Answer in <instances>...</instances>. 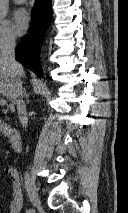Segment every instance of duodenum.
Masks as SVG:
<instances>
[{
  "instance_id": "1",
  "label": "duodenum",
  "mask_w": 128,
  "mask_h": 213,
  "mask_svg": "<svg viewBox=\"0 0 128 213\" xmlns=\"http://www.w3.org/2000/svg\"><path fill=\"white\" fill-rule=\"evenodd\" d=\"M8 139L11 147L14 151H18L21 147V134L15 128H10L8 130Z\"/></svg>"
}]
</instances>
